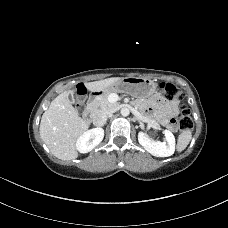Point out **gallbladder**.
I'll return each instance as SVG.
<instances>
[{
    "label": "gallbladder",
    "instance_id": "gallbladder-1",
    "mask_svg": "<svg viewBox=\"0 0 228 228\" xmlns=\"http://www.w3.org/2000/svg\"><path fill=\"white\" fill-rule=\"evenodd\" d=\"M71 96H72V98H73V95H72V94H71ZM72 98H71V100H73Z\"/></svg>",
    "mask_w": 228,
    "mask_h": 228
}]
</instances>
